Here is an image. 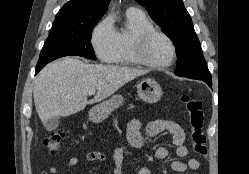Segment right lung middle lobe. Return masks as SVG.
I'll return each instance as SVG.
<instances>
[{
  "label": "right lung middle lobe",
  "instance_id": "obj_1",
  "mask_svg": "<svg viewBox=\"0 0 249 174\" xmlns=\"http://www.w3.org/2000/svg\"><path fill=\"white\" fill-rule=\"evenodd\" d=\"M98 21L68 28L50 30L44 44L37 67H44L47 63L64 56H82L96 59L90 43L93 27Z\"/></svg>",
  "mask_w": 249,
  "mask_h": 174
}]
</instances>
